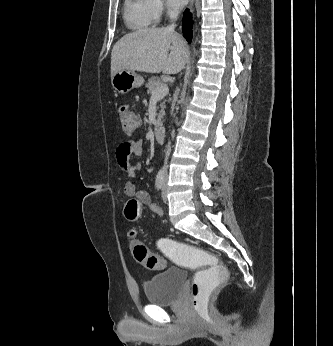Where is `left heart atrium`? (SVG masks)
<instances>
[{
  "label": "left heart atrium",
  "mask_w": 333,
  "mask_h": 346,
  "mask_svg": "<svg viewBox=\"0 0 333 346\" xmlns=\"http://www.w3.org/2000/svg\"><path fill=\"white\" fill-rule=\"evenodd\" d=\"M172 6L181 7L187 3L188 0H168Z\"/></svg>",
  "instance_id": "1"
}]
</instances>
